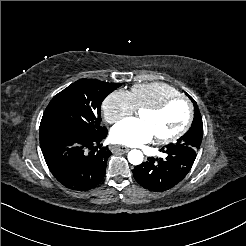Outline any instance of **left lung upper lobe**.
Returning a JSON list of instances; mask_svg holds the SVG:
<instances>
[{
  "instance_id": "1",
  "label": "left lung upper lobe",
  "mask_w": 246,
  "mask_h": 246,
  "mask_svg": "<svg viewBox=\"0 0 246 246\" xmlns=\"http://www.w3.org/2000/svg\"><path fill=\"white\" fill-rule=\"evenodd\" d=\"M188 97L193 102L194 110H195L192 126L185 135H183L177 140L176 143H172L169 145H172L174 147L186 146L197 152L198 149L200 148L202 137H203V123L197 103L190 95H188Z\"/></svg>"
}]
</instances>
